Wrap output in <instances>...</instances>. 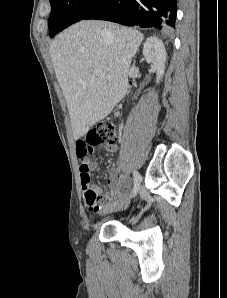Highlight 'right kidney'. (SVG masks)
I'll return each mask as SVG.
<instances>
[{
  "label": "right kidney",
  "instance_id": "obj_1",
  "mask_svg": "<svg viewBox=\"0 0 227 298\" xmlns=\"http://www.w3.org/2000/svg\"><path fill=\"white\" fill-rule=\"evenodd\" d=\"M143 55L156 68V82L159 83L164 75L167 57L163 42L156 37H149L144 43Z\"/></svg>",
  "mask_w": 227,
  "mask_h": 298
}]
</instances>
